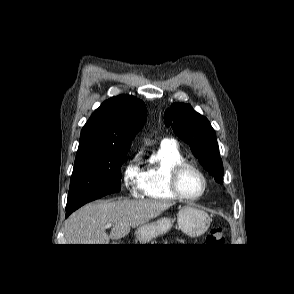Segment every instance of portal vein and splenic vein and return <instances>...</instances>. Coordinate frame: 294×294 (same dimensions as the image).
<instances>
[{
	"instance_id": "18ae733b",
	"label": "portal vein and splenic vein",
	"mask_w": 294,
	"mask_h": 294,
	"mask_svg": "<svg viewBox=\"0 0 294 294\" xmlns=\"http://www.w3.org/2000/svg\"><path fill=\"white\" fill-rule=\"evenodd\" d=\"M112 226V223H107L106 228H110Z\"/></svg>"
}]
</instances>
